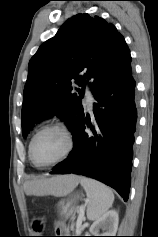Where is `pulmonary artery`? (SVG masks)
<instances>
[{"instance_id": "obj_1", "label": "pulmonary artery", "mask_w": 158, "mask_h": 237, "mask_svg": "<svg viewBox=\"0 0 158 237\" xmlns=\"http://www.w3.org/2000/svg\"><path fill=\"white\" fill-rule=\"evenodd\" d=\"M92 104H93V101H92L91 99H89V100L87 101V106H88L89 109L92 108Z\"/></svg>"}]
</instances>
